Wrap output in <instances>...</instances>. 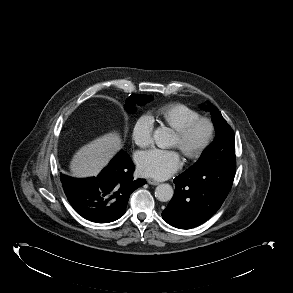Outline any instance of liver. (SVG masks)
Instances as JSON below:
<instances>
[{"instance_id":"1","label":"liver","mask_w":293,"mask_h":293,"mask_svg":"<svg viewBox=\"0 0 293 293\" xmlns=\"http://www.w3.org/2000/svg\"><path fill=\"white\" fill-rule=\"evenodd\" d=\"M119 133L110 132L81 147L70 162L72 176H96L121 149Z\"/></svg>"}]
</instances>
